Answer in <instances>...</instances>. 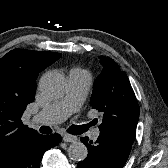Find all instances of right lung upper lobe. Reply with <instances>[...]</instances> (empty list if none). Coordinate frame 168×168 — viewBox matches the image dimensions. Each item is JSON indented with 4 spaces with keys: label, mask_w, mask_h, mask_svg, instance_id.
I'll return each instance as SVG.
<instances>
[{
    "label": "right lung upper lobe",
    "mask_w": 168,
    "mask_h": 168,
    "mask_svg": "<svg viewBox=\"0 0 168 168\" xmlns=\"http://www.w3.org/2000/svg\"><path fill=\"white\" fill-rule=\"evenodd\" d=\"M60 57L55 52L14 49L0 59V166L18 142L37 134L21 117L34 100L38 73Z\"/></svg>",
    "instance_id": "obj_1"
}]
</instances>
